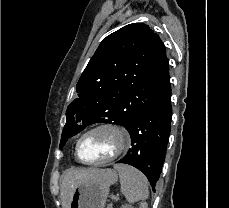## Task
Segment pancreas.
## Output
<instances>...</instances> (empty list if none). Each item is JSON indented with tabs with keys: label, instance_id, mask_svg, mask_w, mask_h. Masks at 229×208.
Listing matches in <instances>:
<instances>
[{
	"label": "pancreas",
	"instance_id": "obj_1",
	"mask_svg": "<svg viewBox=\"0 0 229 208\" xmlns=\"http://www.w3.org/2000/svg\"><path fill=\"white\" fill-rule=\"evenodd\" d=\"M113 204H108L107 208H112Z\"/></svg>",
	"mask_w": 229,
	"mask_h": 208
}]
</instances>
